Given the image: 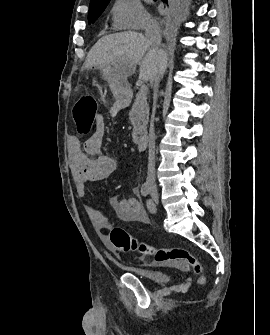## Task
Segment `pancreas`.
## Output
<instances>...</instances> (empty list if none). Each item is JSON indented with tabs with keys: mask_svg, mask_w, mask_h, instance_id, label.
I'll return each instance as SVG.
<instances>
[{
	"mask_svg": "<svg viewBox=\"0 0 270 335\" xmlns=\"http://www.w3.org/2000/svg\"><path fill=\"white\" fill-rule=\"evenodd\" d=\"M129 120L133 126V138H136L138 134L147 132V124L149 120L148 110H140L138 106H133L129 114Z\"/></svg>",
	"mask_w": 270,
	"mask_h": 335,
	"instance_id": "pancreas-1",
	"label": "pancreas"
}]
</instances>
